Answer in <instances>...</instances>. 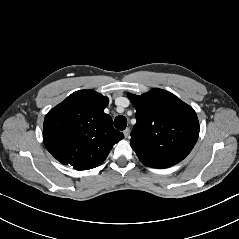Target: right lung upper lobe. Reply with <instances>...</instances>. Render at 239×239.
<instances>
[{"label": "right lung upper lobe", "mask_w": 239, "mask_h": 239, "mask_svg": "<svg viewBox=\"0 0 239 239\" xmlns=\"http://www.w3.org/2000/svg\"><path fill=\"white\" fill-rule=\"evenodd\" d=\"M109 99L93 90L72 93L51 109L43 124L47 150L63 165L88 170L104 162L123 133L104 113Z\"/></svg>", "instance_id": "1"}]
</instances>
